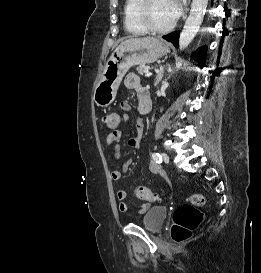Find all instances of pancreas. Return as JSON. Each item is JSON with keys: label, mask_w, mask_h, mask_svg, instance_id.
Returning a JSON list of instances; mask_svg holds the SVG:
<instances>
[{"label": "pancreas", "mask_w": 261, "mask_h": 273, "mask_svg": "<svg viewBox=\"0 0 261 273\" xmlns=\"http://www.w3.org/2000/svg\"><path fill=\"white\" fill-rule=\"evenodd\" d=\"M149 70H150V66H148V65H140L139 67H137V72L140 75H144Z\"/></svg>", "instance_id": "pancreas-1"}]
</instances>
